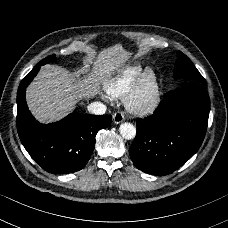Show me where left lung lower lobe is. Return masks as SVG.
<instances>
[{"label": "left lung lower lobe", "instance_id": "0a47b994", "mask_svg": "<svg viewBox=\"0 0 228 228\" xmlns=\"http://www.w3.org/2000/svg\"><path fill=\"white\" fill-rule=\"evenodd\" d=\"M210 98L204 86L169 92L153 115L137 120L129 149L134 165L153 175L181 167L201 146L208 124Z\"/></svg>", "mask_w": 228, "mask_h": 228}]
</instances>
